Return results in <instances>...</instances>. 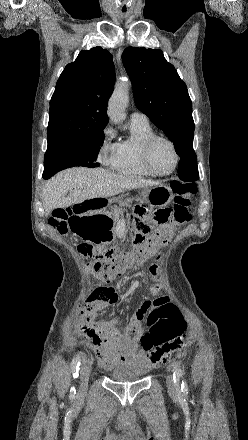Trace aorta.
<instances>
[{"label": "aorta", "mask_w": 248, "mask_h": 440, "mask_svg": "<svg viewBox=\"0 0 248 440\" xmlns=\"http://www.w3.org/2000/svg\"><path fill=\"white\" fill-rule=\"evenodd\" d=\"M129 83L127 80L118 84L109 100L108 115L112 122H122L125 115V107L129 97Z\"/></svg>", "instance_id": "1"}]
</instances>
